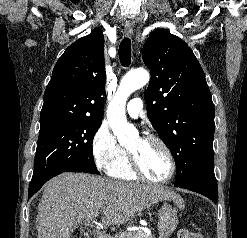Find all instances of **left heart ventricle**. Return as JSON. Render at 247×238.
I'll return each instance as SVG.
<instances>
[{
    "label": "left heart ventricle",
    "instance_id": "left-heart-ventricle-1",
    "mask_svg": "<svg viewBox=\"0 0 247 238\" xmlns=\"http://www.w3.org/2000/svg\"><path fill=\"white\" fill-rule=\"evenodd\" d=\"M128 149L137 157L140 167L146 176L152 179H161L169 173L168 157L158 144L142 138H136Z\"/></svg>",
    "mask_w": 247,
    "mask_h": 238
}]
</instances>
